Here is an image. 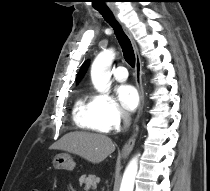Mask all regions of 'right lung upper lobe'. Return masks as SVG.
<instances>
[{"label":"right lung upper lobe","instance_id":"cb5924a9","mask_svg":"<svg viewBox=\"0 0 210 191\" xmlns=\"http://www.w3.org/2000/svg\"><path fill=\"white\" fill-rule=\"evenodd\" d=\"M88 66H89V61H86L81 67V70L78 74V79H81L83 77V75L85 74Z\"/></svg>","mask_w":210,"mask_h":191}]
</instances>
